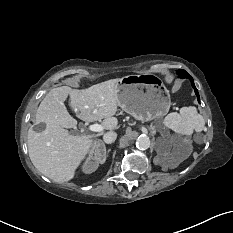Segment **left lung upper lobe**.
Instances as JSON below:
<instances>
[{"label": "left lung upper lobe", "instance_id": "left-lung-upper-lobe-1", "mask_svg": "<svg viewBox=\"0 0 233 233\" xmlns=\"http://www.w3.org/2000/svg\"><path fill=\"white\" fill-rule=\"evenodd\" d=\"M180 71H182V70H177V72H180Z\"/></svg>", "mask_w": 233, "mask_h": 233}]
</instances>
